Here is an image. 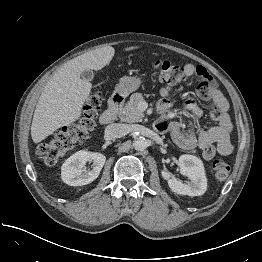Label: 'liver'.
<instances>
[{
	"instance_id": "liver-1",
	"label": "liver",
	"mask_w": 262,
	"mask_h": 262,
	"mask_svg": "<svg viewBox=\"0 0 262 262\" xmlns=\"http://www.w3.org/2000/svg\"><path fill=\"white\" fill-rule=\"evenodd\" d=\"M127 47L125 51L138 49ZM115 49L105 46L86 52L59 69L44 87L34 112L31 136L34 143H39L57 129L78 120L83 105L88 98L92 85L81 79L86 69L101 70L114 57Z\"/></svg>"
}]
</instances>
